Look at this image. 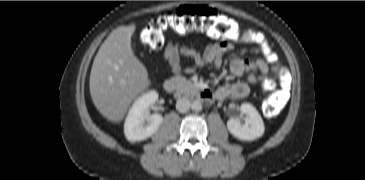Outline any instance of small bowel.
<instances>
[{"mask_svg": "<svg viewBox=\"0 0 365 180\" xmlns=\"http://www.w3.org/2000/svg\"><path fill=\"white\" fill-rule=\"evenodd\" d=\"M241 32L247 45L239 48V51L245 57L234 55L229 59L231 73L240 80L231 85L219 87L214 95L216 99H243L250 93L251 86L264 80L268 74V52L259 42L258 34L250 29H244ZM234 49H236L234 43L216 42L208 45L204 50H198L179 45L170 39L164 48V58L175 73H190L205 64L218 65L220 56ZM183 58L189 59L191 63L185 65Z\"/></svg>", "mask_w": 365, "mask_h": 180, "instance_id": "obj_1", "label": "small bowel"}]
</instances>
